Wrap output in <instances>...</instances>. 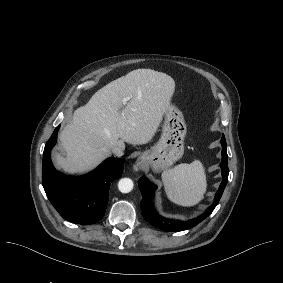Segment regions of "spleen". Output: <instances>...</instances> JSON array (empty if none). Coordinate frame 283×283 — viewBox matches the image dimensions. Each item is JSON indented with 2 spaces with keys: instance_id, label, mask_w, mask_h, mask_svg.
Wrapping results in <instances>:
<instances>
[{
  "instance_id": "3e777b00",
  "label": "spleen",
  "mask_w": 283,
  "mask_h": 283,
  "mask_svg": "<svg viewBox=\"0 0 283 283\" xmlns=\"http://www.w3.org/2000/svg\"><path fill=\"white\" fill-rule=\"evenodd\" d=\"M161 180L166 197L178 206H196L207 193V172L200 159L181 164L171 172H164Z\"/></svg>"
}]
</instances>
